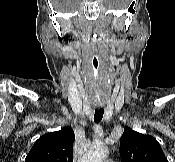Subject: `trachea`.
Wrapping results in <instances>:
<instances>
[{"label": "trachea", "mask_w": 175, "mask_h": 162, "mask_svg": "<svg viewBox=\"0 0 175 162\" xmlns=\"http://www.w3.org/2000/svg\"><path fill=\"white\" fill-rule=\"evenodd\" d=\"M103 114H104L103 108L95 109L94 122L99 123L103 118Z\"/></svg>", "instance_id": "1"}]
</instances>
